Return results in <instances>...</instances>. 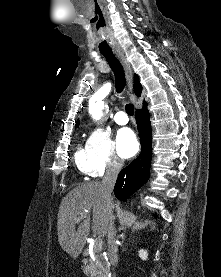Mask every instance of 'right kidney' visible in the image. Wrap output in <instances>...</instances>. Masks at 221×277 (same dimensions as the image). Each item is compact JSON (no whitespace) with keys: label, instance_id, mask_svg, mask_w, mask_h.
<instances>
[{"label":"right kidney","instance_id":"ca27d5eb","mask_svg":"<svg viewBox=\"0 0 221 277\" xmlns=\"http://www.w3.org/2000/svg\"><path fill=\"white\" fill-rule=\"evenodd\" d=\"M138 254H139V257H140L142 260H147V258H148V253H147L146 250L141 249V250H139Z\"/></svg>","mask_w":221,"mask_h":277}]
</instances>
